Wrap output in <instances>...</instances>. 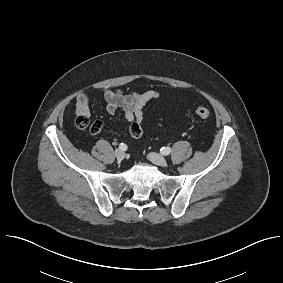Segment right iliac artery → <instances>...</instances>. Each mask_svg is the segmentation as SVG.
Here are the masks:
<instances>
[{
    "mask_svg": "<svg viewBox=\"0 0 283 283\" xmlns=\"http://www.w3.org/2000/svg\"><path fill=\"white\" fill-rule=\"evenodd\" d=\"M119 148H120L122 151H125V150H127V145L124 144V143H121V144L119 145Z\"/></svg>",
    "mask_w": 283,
    "mask_h": 283,
    "instance_id": "obj_1",
    "label": "right iliac artery"
}]
</instances>
